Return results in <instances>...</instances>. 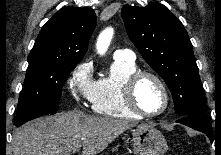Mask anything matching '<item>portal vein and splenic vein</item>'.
I'll return each mask as SVG.
<instances>
[{"label": "portal vein and splenic vein", "instance_id": "obj_1", "mask_svg": "<svg viewBox=\"0 0 221 155\" xmlns=\"http://www.w3.org/2000/svg\"><path fill=\"white\" fill-rule=\"evenodd\" d=\"M80 147H81V146L75 147L73 151H74V152L78 151V150L80 149Z\"/></svg>", "mask_w": 221, "mask_h": 155}]
</instances>
